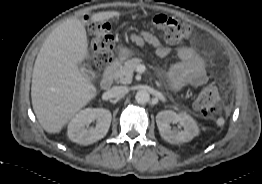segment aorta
<instances>
[{"label": "aorta", "instance_id": "1", "mask_svg": "<svg viewBox=\"0 0 262 184\" xmlns=\"http://www.w3.org/2000/svg\"><path fill=\"white\" fill-rule=\"evenodd\" d=\"M135 99L140 104H145L150 100V94L147 90H139L136 95Z\"/></svg>", "mask_w": 262, "mask_h": 184}]
</instances>
